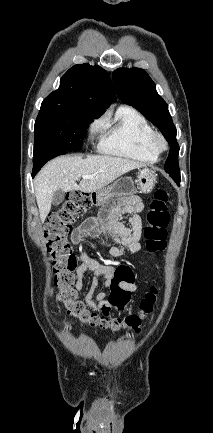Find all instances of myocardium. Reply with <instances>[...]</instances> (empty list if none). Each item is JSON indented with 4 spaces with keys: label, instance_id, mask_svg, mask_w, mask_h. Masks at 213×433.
Returning a JSON list of instances; mask_svg holds the SVG:
<instances>
[{
    "label": "myocardium",
    "instance_id": "f54148a6",
    "mask_svg": "<svg viewBox=\"0 0 213 433\" xmlns=\"http://www.w3.org/2000/svg\"><path fill=\"white\" fill-rule=\"evenodd\" d=\"M152 142L158 153L164 152L168 149V144L165 138L158 133L154 134Z\"/></svg>",
    "mask_w": 213,
    "mask_h": 433
}]
</instances>
